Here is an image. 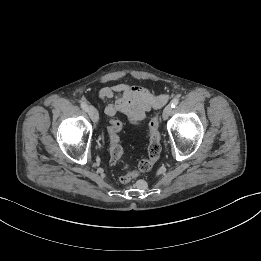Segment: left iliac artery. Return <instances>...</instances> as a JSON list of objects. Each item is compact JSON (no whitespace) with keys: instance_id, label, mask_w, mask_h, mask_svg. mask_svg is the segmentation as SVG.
Here are the masks:
<instances>
[{"instance_id":"obj_1","label":"left iliac artery","mask_w":261,"mask_h":261,"mask_svg":"<svg viewBox=\"0 0 261 261\" xmlns=\"http://www.w3.org/2000/svg\"><path fill=\"white\" fill-rule=\"evenodd\" d=\"M179 103V100L177 98H174L172 101H171V107L172 108H175Z\"/></svg>"}]
</instances>
